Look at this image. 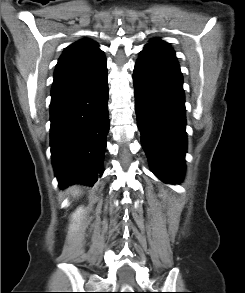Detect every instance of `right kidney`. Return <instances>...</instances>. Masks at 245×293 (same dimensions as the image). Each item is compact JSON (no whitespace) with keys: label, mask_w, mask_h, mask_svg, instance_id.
<instances>
[{"label":"right kidney","mask_w":245,"mask_h":293,"mask_svg":"<svg viewBox=\"0 0 245 293\" xmlns=\"http://www.w3.org/2000/svg\"><path fill=\"white\" fill-rule=\"evenodd\" d=\"M80 211H81V209H78L76 211V213L73 215V217L76 218L77 216H79L80 215Z\"/></svg>","instance_id":"1"}]
</instances>
